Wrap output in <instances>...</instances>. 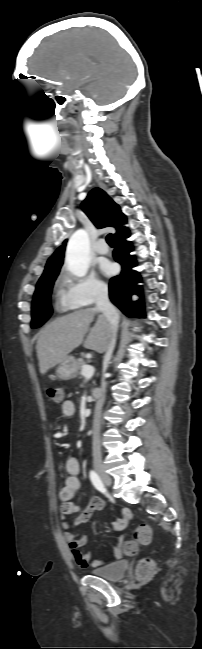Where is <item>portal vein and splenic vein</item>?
Instances as JSON below:
<instances>
[{
    "label": "portal vein and splenic vein",
    "instance_id": "portal-vein-and-splenic-vein-1",
    "mask_svg": "<svg viewBox=\"0 0 202 649\" xmlns=\"http://www.w3.org/2000/svg\"><path fill=\"white\" fill-rule=\"evenodd\" d=\"M95 369L90 366V365H85L83 366L81 370V374L86 378L89 379L94 375Z\"/></svg>",
    "mask_w": 202,
    "mask_h": 649
}]
</instances>
